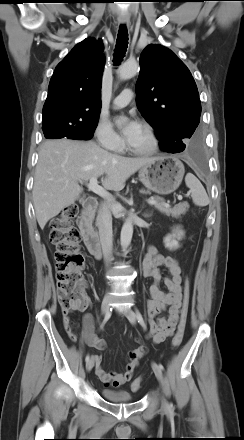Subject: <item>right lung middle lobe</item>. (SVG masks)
Wrapping results in <instances>:
<instances>
[{
	"instance_id": "dd1d6c3e",
	"label": "right lung middle lobe",
	"mask_w": 244,
	"mask_h": 440,
	"mask_svg": "<svg viewBox=\"0 0 244 440\" xmlns=\"http://www.w3.org/2000/svg\"><path fill=\"white\" fill-rule=\"evenodd\" d=\"M98 124V119L87 124H76L72 121L48 120L42 121V128L45 138L57 139L66 137L68 139L88 140Z\"/></svg>"
}]
</instances>
